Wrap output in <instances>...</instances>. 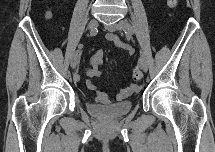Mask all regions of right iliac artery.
<instances>
[{"label":"right iliac artery","instance_id":"obj_1","mask_svg":"<svg viewBox=\"0 0 215 152\" xmlns=\"http://www.w3.org/2000/svg\"><path fill=\"white\" fill-rule=\"evenodd\" d=\"M98 33L97 29H94L90 32V36H95ZM83 47L82 44H79L78 48L81 49ZM79 51V50H78Z\"/></svg>","mask_w":215,"mask_h":152}]
</instances>
